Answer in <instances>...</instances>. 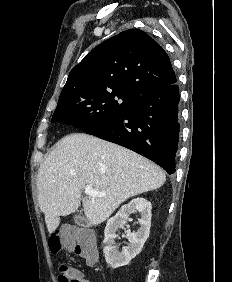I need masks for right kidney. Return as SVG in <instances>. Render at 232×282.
<instances>
[{
	"label": "right kidney",
	"instance_id": "obj_1",
	"mask_svg": "<svg viewBox=\"0 0 232 282\" xmlns=\"http://www.w3.org/2000/svg\"><path fill=\"white\" fill-rule=\"evenodd\" d=\"M151 209V203L145 198H135L128 204L123 205L117 214L107 221L104 230L103 252L106 262L112 268L116 269L127 265L141 252L150 233ZM135 212H139L141 215V218L138 219L140 228L137 232L126 231L130 243L127 248L119 252L115 243V238L117 237L116 231L119 228H123L127 223L129 215Z\"/></svg>",
	"mask_w": 232,
	"mask_h": 282
}]
</instances>
